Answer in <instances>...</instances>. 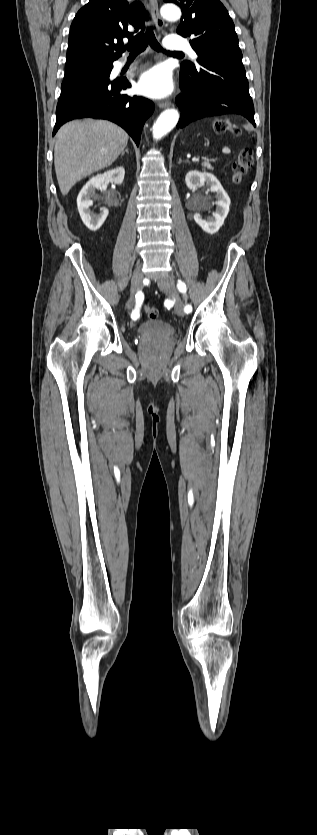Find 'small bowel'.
Instances as JSON below:
<instances>
[{
  "mask_svg": "<svg viewBox=\"0 0 317 835\" xmlns=\"http://www.w3.org/2000/svg\"><path fill=\"white\" fill-rule=\"evenodd\" d=\"M129 306H130V304H129ZM132 306H133V304H132ZM132 306H131L130 308H132ZM130 308H129V309H130ZM135 308H136V306H135ZM135 308H134V309H135ZM139 309H140V308H139Z\"/></svg>",
  "mask_w": 317,
  "mask_h": 835,
  "instance_id": "small-bowel-1",
  "label": "small bowel"
}]
</instances>
